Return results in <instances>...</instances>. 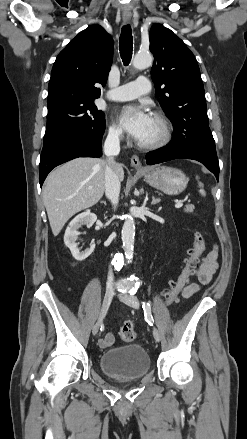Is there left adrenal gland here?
<instances>
[{
  "mask_svg": "<svg viewBox=\"0 0 247 439\" xmlns=\"http://www.w3.org/2000/svg\"><path fill=\"white\" fill-rule=\"evenodd\" d=\"M146 198L148 199V194L146 193ZM160 202V199H156V198H154V197H152V202H151V204L152 205H155V204H157V203H159Z\"/></svg>",
  "mask_w": 247,
  "mask_h": 439,
  "instance_id": "obj_1",
  "label": "left adrenal gland"
}]
</instances>
